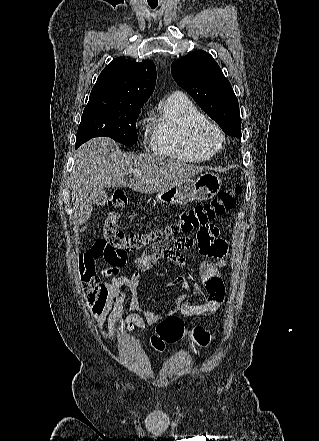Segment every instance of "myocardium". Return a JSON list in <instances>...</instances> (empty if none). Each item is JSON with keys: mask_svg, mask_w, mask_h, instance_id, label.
I'll list each match as a JSON object with an SVG mask.
<instances>
[{"mask_svg": "<svg viewBox=\"0 0 319 441\" xmlns=\"http://www.w3.org/2000/svg\"><path fill=\"white\" fill-rule=\"evenodd\" d=\"M225 141V134L215 123L207 122L202 125L197 133V142L202 147L211 151H218Z\"/></svg>", "mask_w": 319, "mask_h": 441, "instance_id": "f54148a6", "label": "myocardium"}]
</instances>
